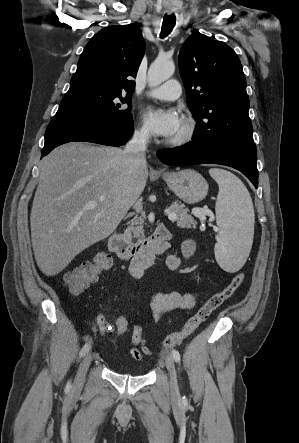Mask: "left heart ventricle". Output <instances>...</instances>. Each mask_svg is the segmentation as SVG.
I'll list each match as a JSON object with an SVG mask.
<instances>
[{
    "label": "left heart ventricle",
    "instance_id": "1",
    "mask_svg": "<svg viewBox=\"0 0 299 443\" xmlns=\"http://www.w3.org/2000/svg\"><path fill=\"white\" fill-rule=\"evenodd\" d=\"M180 131H181V127H180V129L178 130V132H177L175 135H177ZM175 135H174V136H175Z\"/></svg>",
    "mask_w": 299,
    "mask_h": 443
}]
</instances>
